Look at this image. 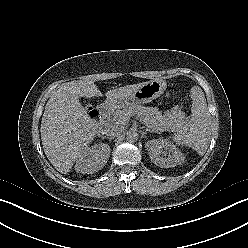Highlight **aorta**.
Listing matches in <instances>:
<instances>
[{
	"mask_svg": "<svg viewBox=\"0 0 248 248\" xmlns=\"http://www.w3.org/2000/svg\"><path fill=\"white\" fill-rule=\"evenodd\" d=\"M138 137H139V135H138L137 131H135V130H130L126 134V139L129 142H136L138 140Z\"/></svg>",
	"mask_w": 248,
	"mask_h": 248,
	"instance_id": "1",
	"label": "aorta"
}]
</instances>
